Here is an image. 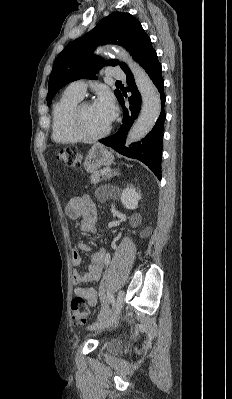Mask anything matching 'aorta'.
Returning <instances> with one entry per match:
<instances>
[{"mask_svg": "<svg viewBox=\"0 0 232 399\" xmlns=\"http://www.w3.org/2000/svg\"><path fill=\"white\" fill-rule=\"evenodd\" d=\"M113 50L116 57L125 62L133 73L135 83L142 98L140 115L129 131L126 140V143L129 145L140 140L151 131L161 111V100L158 90L148 74L132 59L129 53L121 47H114Z\"/></svg>", "mask_w": 232, "mask_h": 399, "instance_id": "aorta-1", "label": "aorta"}]
</instances>
